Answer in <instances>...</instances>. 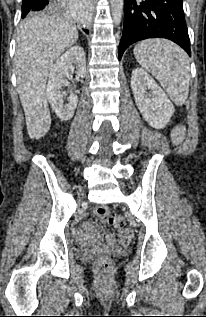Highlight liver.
Wrapping results in <instances>:
<instances>
[{
    "label": "liver",
    "instance_id": "obj_1",
    "mask_svg": "<svg viewBox=\"0 0 206 317\" xmlns=\"http://www.w3.org/2000/svg\"><path fill=\"white\" fill-rule=\"evenodd\" d=\"M78 39L68 18L43 13L21 24L15 53L17 90L29 137L39 139L50 129L46 83L55 60Z\"/></svg>",
    "mask_w": 206,
    "mask_h": 317
}]
</instances>
